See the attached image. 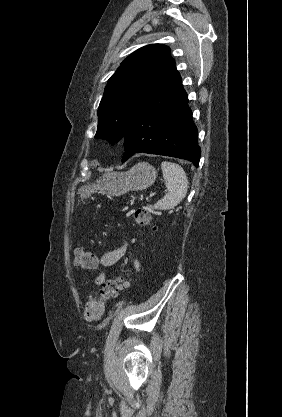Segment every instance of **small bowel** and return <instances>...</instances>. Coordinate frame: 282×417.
Wrapping results in <instances>:
<instances>
[{"mask_svg": "<svg viewBox=\"0 0 282 417\" xmlns=\"http://www.w3.org/2000/svg\"><path fill=\"white\" fill-rule=\"evenodd\" d=\"M123 256H128L132 262V265L137 273L141 272V264L132 253L128 250V243L123 240L122 245L114 250L105 253L100 259L99 264L103 267V270L96 278V284L100 285L107 279L106 269L117 263ZM104 313V307L97 305L95 296L91 295L86 303L84 310V319L87 322H94L99 320Z\"/></svg>", "mask_w": 282, "mask_h": 417, "instance_id": "1", "label": "small bowel"}]
</instances>
